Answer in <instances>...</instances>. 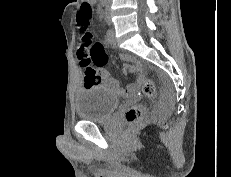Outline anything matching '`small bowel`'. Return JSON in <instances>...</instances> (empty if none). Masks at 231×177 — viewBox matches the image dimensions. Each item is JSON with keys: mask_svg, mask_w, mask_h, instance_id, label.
I'll return each instance as SVG.
<instances>
[{"mask_svg": "<svg viewBox=\"0 0 231 177\" xmlns=\"http://www.w3.org/2000/svg\"><path fill=\"white\" fill-rule=\"evenodd\" d=\"M84 3H88L90 6L95 3L94 0H86ZM78 18V17H77ZM105 41L108 44H113L114 43V36L112 33H107L106 37H105ZM120 58L122 60L125 61H129L131 62V64H124L122 67V70L124 73H136L138 75L137 80L128 85L126 88H122L118 82V80H116L115 78H113L111 76V74L104 69L101 65L99 66V69L96 70L97 72V79H93V80H86L84 77V85L85 86H93V85H104L114 91H116L118 94L121 95H132L134 94L139 86L142 84V82L144 81V68L143 65L137 61L135 58H133L130 55L127 54H121Z\"/></svg>", "mask_w": 231, "mask_h": 177, "instance_id": "1", "label": "small bowel"}]
</instances>
